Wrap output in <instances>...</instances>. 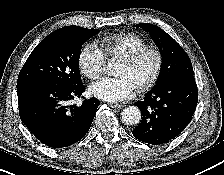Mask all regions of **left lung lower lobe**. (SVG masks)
Masks as SVG:
<instances>
[{"instance_id": "obj_1", "label": "left lung lower lobe", "mask_w": 224, "mask_h": 175, "mask_svg": "<svg viewBox=\"0 0 224 175\" xmlns=\"http://www.w3.org/2000/svg\"><path fill=\"white\" fill-rule=\"evenodd\" d=\"M198 102L193 75L178 76L155 86L135 104L142 121L132 131L138 140L160 145L176 138L191 122Z\"/></svg>"}]
</instances>
